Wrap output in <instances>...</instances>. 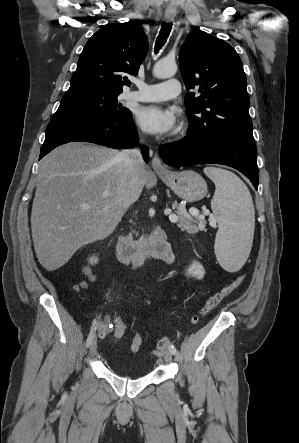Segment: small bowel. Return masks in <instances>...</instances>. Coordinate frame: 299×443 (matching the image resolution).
<instances>
[{
	"mask_svg": "<svg viewBox=\"0 0 299 443\" xmlns=\"http://www.w3.org/2000/svg\"><path fill=\"white\" fill-rule=\"evenodd\" d=\"M161 259L164 260L168 264H172L175 261L174 255L171 252L166 254ZM138 266L139 265H135L136 268ZM110 328H111V317L109 314H107L105 316V318L99 322V326H98L99 338H105L109 334Z\"/></svg>",
	"mask_w": 299,
	"mask_h": 443,
	"instance_id": "1",
	"label": "small bowel"
}]
</instances>
